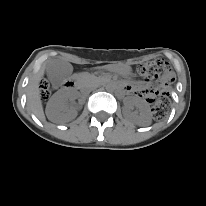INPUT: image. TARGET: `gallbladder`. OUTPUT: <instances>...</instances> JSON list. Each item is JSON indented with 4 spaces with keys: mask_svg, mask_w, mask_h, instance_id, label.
I'll return each mask as SVG.
<instances>
[{
    "mask_svg": "<svg viewBox=\"0 0 206 206\" xmlns=\"http://www.w3.org/2000/svg\"><path fill=\"white\" fill-rule=\"evenodd\" d=\"M46 71L51 84L59 87L71 76L73 67L69 62L64 60L52 59L46 63Z\"/></svg>",
    "mask_w": 206,
    "mask_h": 206,
    "instance_id": "gallbladder-1",
    "label": "gallbladder"
}]
</instances>
